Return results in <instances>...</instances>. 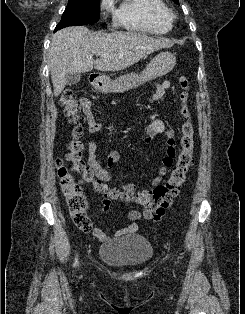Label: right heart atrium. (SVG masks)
<instances>
[{
	"mask_svg": "<svg viewBox=\"0 0 245 314\" xmlns=\"http://www.w3.org/2000/svg\"><path fill=\"white\" fill-rule=\"evenodd\" d=\"M113 1L114 0H101L100 6H101L102 13L104 15H107L113 12V7H114Z\"/></svg>",
	"mask_w": 245,
	"mask_h": 314,
	"instance_id": "d8ad5b80",
	"label": "right heart atrium"
}]
</instances>
